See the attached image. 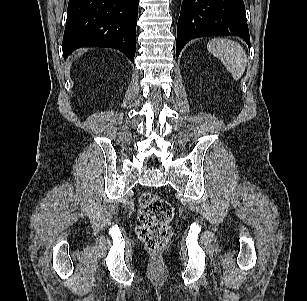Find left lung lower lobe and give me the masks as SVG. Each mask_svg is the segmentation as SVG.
<instances>
[{
  "label": "left lung lower lobe",
  "mask_w": 307,
  "mask_h": 301,
  "mask_svg": "<svg viewBox=\"0 0 307 301\" xmlns=\"http://www.w3.org/2000/svg\"><path fill=\"white\" fill-rule=\"evenodd\" d=\"M204 36H237L250 47L243 0H183L176 56L188 41Z\"/></svg>",
  "instance_id": "1"
}]
</instances>
